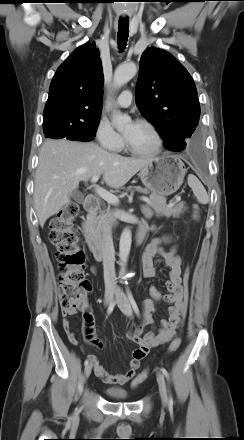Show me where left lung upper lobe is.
Returning a JSON list of instances; mask_svg holds the SVG:
<instances>
[{"mask_svg": "<svg viewBox=\"0 0 244 440\" xmlns=\"http://www.w3.org/2000/svg\"><path fill=\"white\" fill-rule=\"evenodd\" d=\"M136 104L155 124L166 148L182 151L199 123L200 105L195 83L170 53L147 49L140 59Z\"/></svg>", "mask_w": 244, "mask_h": 440, "instance_id": "obj_1", "label": "left lung upper lobe"}]
</instances>
